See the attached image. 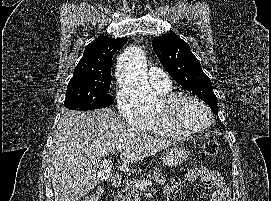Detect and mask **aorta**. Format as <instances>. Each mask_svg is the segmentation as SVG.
Listing matches in <instances>:
<instances>
[{
    "mask_svg": "<svg viewBox=\"0 0 271 201\" xmlns=\"http://www.w3.org/2000/svg\"><path fill=\"white\" fill-rule=\"evenodd\" d=\"M146 56L138 46L124 50L117 61V77L122 91L140 107H153L157 96L147 83Z\"/></svg>",
    "mask_w": 271,
    "mask_h": 201,
    "instance_id": "762f6f07",
    "label": "aorta"
}]
</instances>
